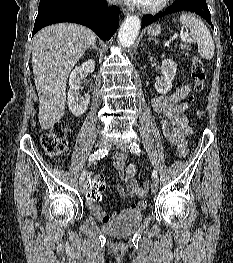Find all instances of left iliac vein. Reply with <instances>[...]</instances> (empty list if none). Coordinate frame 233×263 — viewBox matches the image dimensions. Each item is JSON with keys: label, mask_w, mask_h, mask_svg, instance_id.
Wrapping results in <instances>:
<instances>
[{"label": "left iliac vein", "mask_w": 233, "mask_h": 263, "mask_svg": "<svg viewBox=\"0 0 233 263\" xmlns=\"http://www.w3.org/2000/svg\"><path fill=\"white\" fill-rule=\"evenodd\" d=\"M117 148L121 150L122 152L128 151V144L127 143H121L117 145ZM158 190V180L154 179L151 183V191L155 193Z\"/></svg>", "instance_id": "4c4485c4"}]
</instances>
